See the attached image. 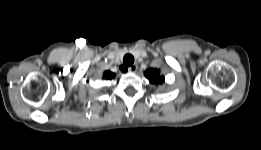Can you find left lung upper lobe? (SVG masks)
<instances>
[{"instance_id": "left-lung-upper-lobe-1", "label": "left lung upper lobe", "mask_w": 261, "mask_h": 150, "mask_svg": "<svg viewBox=\"0 0 261 150\" xmlns=\"http://www.w3.org/2000/svg\"><path fill=\"white\" fill-rule=\"evenodd\" d=\"M144 74L152 84L158 85L164 82V77L161 76L158 69H147Z\"/></svg>"}]
</instances>
